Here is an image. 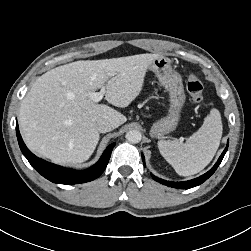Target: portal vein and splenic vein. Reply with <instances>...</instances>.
<instances>
[{
	"label": "portal vein and splenic vein",
	"mask_w": 251,
	"mask_h": 251,
	"mask_svg": "<svg viewBox=\"0 0 251 251\" xmlns=\"http://www.w3.org/2000/svg\"><path fill=\"white\" fill-rule=\"evenodd\" d=\"M104 94H105V88L102 87L99 92H92L90 94V97L94 102H99L103 99Z\"/></svg>",
	"instance_id": "obj_1"
}]
</instances>
